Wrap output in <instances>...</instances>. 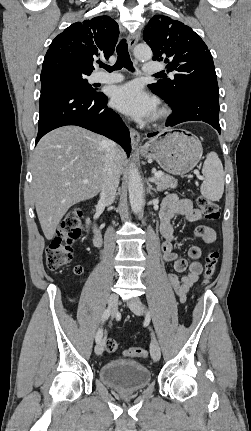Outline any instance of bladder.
Here are the masks:
<instances>
[{
	"instance_id": "bladder-1",
	"label": "bladder",
	"mask_w": 251,
	"mask_h": 431,
	"mask_svg": "<svg viewBox=\"0 0 251 431\" xmlns=\"http://www.w3.org/2000/svg\"><path fill=\"white\" fill-rule=\"evenodd\" d=\"M99 378L119 392H133L146 387L151 373L144 365L131 360H111L103 364Z\"/></svg>"
}]
</instances>
